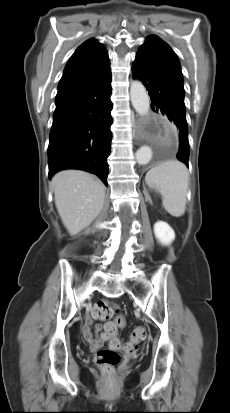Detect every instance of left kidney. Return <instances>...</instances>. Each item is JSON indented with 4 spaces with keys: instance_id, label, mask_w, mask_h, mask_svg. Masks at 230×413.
Segmentation results:
<instances>
[{
    "instance_id": "left-kidney-1",
    "label": "left kidney",
    "mask_w": 230,
    "mask_h": 413,
    "mask_svg": "<svg viewBox=\"0 0 230 413\" xmlns=\"http://www.w3.org/2000/svg\"><path fill=\"white\" fill-rule=\"evenodd\" d=\"M154 234L162 245H169L175 239L174 230L164 221H158L155 223Z\"/></svg>"
}]
</instances>
